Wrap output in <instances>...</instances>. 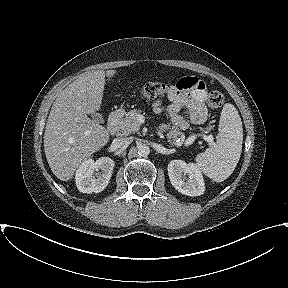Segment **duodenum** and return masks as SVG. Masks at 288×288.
Here are the masks:
<instances>
[{
	"label": "duodenum",
	"mask_w": 288,
	"mask_h": 288,
	"mask_svg": "<svg viewBox=\"0 0 288 288\" xmlns=\"http://www.w3.org/2000/svg\"><path fill=\"white\" fill-rule=\"evenodd\" d=\"M121 116H122L121 110H115L110 114L107 122V129L109 130L110 133L113 134L116 132Z\"/></svg>",
	"instance_id": "duodenum-1"
}]
</instances>
